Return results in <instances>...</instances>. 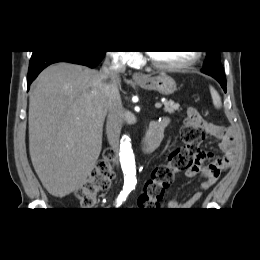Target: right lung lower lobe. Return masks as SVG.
Wrapping results in <instances>:
<instances>
[{"label":"right lung lower lobe","mask_w":260,"mask_h":260,"mask_svg":"<svg viewBox=\"0 0 260 260\" xmlns=\"http://www.w3.org/2000/svg\"><path fill=\"white\" fill-rule=\"evenodd\" d=\"M106 51H34L30 59L27 87L38 74L50 64L56 62H70L85 65L90 68L96 67L104 58Z\"/></svg>","instance_id":"1"}]
</instances>
